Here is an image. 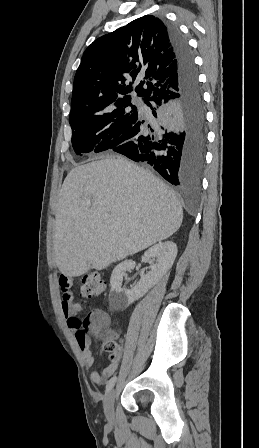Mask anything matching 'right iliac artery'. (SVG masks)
Wrapping results in <instances>:
<instances>
[{
  "label": "right iliac artery",
  "instance_id": "obj_1",
  "mask_svg": "<svg viewBox=\"0 0 259 448\" xmlns=\"http://www.w3.org/2000/svg\"><path fill=\"white\" fill-rule=\"evenodd\" d=\"M116 380H117V377L114 376V377H112V378L107 382V385H106V392L110 391V390L113 388V386H114Z\"/></svg>",
  "mask_w": 259,
  "mask_h": 448
}]
</instances>
